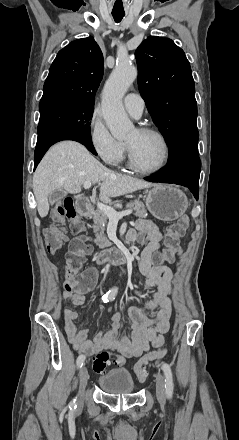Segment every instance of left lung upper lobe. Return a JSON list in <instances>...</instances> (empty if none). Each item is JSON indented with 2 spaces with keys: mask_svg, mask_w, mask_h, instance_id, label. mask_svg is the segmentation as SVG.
<instances>
[{
  "mask_svg": "<svg viewBox=\"0 0 239 440\" xmlns=\"http://www.w3.org/2000/svg\"><path fill=\"white\" fill-rule=\"evenodd\" d=\"M135 56L139 91L167 144L180 133L197 130L195 86L184 51L171 39L150 36Z\"/></svg>",
  "mask_w": 239,
  "mask_h": 440,
  "instance_id": "obj_1",
  "label": "left lung upper lobe"
}]
</instances>
